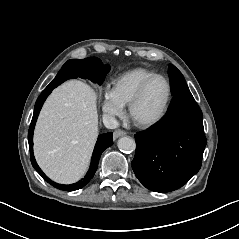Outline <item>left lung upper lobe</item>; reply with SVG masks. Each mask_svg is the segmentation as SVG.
Returning a JSON list of instances; mask_svg holds the SVG:
<instances>
[{
	"label": "left lung upper lobe",
	"mask_w": 239,
	"mask_h": 239,
	"mask_svg": "<svg viewBox=\"0 0 239 239\" xmlns=\"http://www.w3.org/2000/svg\"><path fill=\"white\" fill-rule=\"evenodd\" d=\"M168 74L170 77L172 94L184 90H189L182 73L172 64L169 65Z\"/></svg>",
	"instance_id": "obj_1"
}]
</instances>
